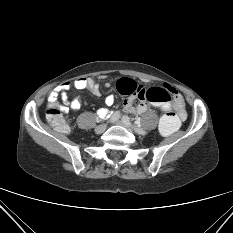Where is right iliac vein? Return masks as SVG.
<instances>
[{
  "label": "right iliac vein",
  "mask_w": 233,
  "mask_h": 233,
  "mask_svg": "<svg viewBox=\"0 0 233 233\" xmlns=\"http://www.w3.org/2000/svg\"><path fill=\"white\" fill-rule=\"evenodd\" d=\"M107 128V124H101V125H98L96 128H95V132L97 134H101L103 133Z\"/></svg>",
  "instance_id": "63e3f726"
}]
</instances>
